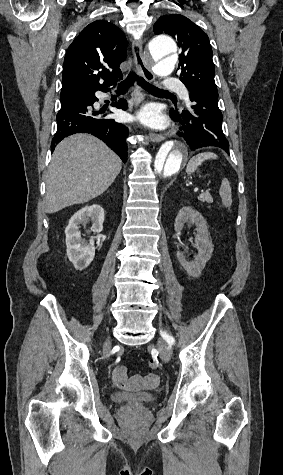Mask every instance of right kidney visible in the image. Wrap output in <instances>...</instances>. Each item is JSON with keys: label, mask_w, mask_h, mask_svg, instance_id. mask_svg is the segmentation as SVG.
<instances>
[{"label": "right kidney", "mask_w": 283, "mask_h": 475, "mask_svg": "<svg viewBox=\"0 0 283 475\" xmlns=\"http://www.w3.org/2000/svg\"><path fill=\"white\" fill-rule=\"evenodd\" d=\"M92 222L91 232H102L104 222V210L98 204L93 206H84L81 210H78L72 218L69 220L67 228H65L67 255L72 261L75 269H85L95 255L94 236L91 239L84 241L81 238V232H79L80 224H86V222Z\"/></svg>", "instance_id": "obj_1"}]
</instances>
